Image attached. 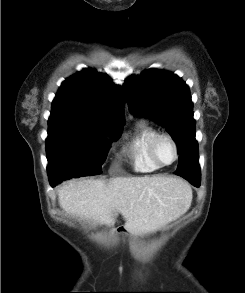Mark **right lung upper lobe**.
<instances>
[{
	"label": "right lung upper lobe",
	"mask_w": 245,
	"mask_h": 293,
	"mask_svg": "<svg viewBox=\"0 0 245 293\" xmlns=\"http://www.w3.org/2000/svg\"><path fill=\"white\" fill-rule=\"evenodd\" d=\"M120 86L96 70L83 69L66 79L52 103L49 121H69L103 128L124 123Z\"/></svg>",
	"instance_id": "obj_1"
}]
</instances>
